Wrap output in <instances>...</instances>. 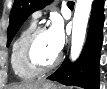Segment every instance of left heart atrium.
<instances>
[{"mask_svg":"<svg viewBox=\"0 0 107 89\" xmlns=\"http://www.w3.org/2000/svg\"><path fill=\"white\" fill-rule=\"evenodd\" d=\"M48 33L50 35L51 41L55 49L60 52L64 46L65 35L62 22L59 19H56L52 26L49 28Z\"/></svg>","mask_w":107,"mask_h":89,"instance_id":"left-heart-atrium-1","label":"left heart atrium"}]
</instances>
